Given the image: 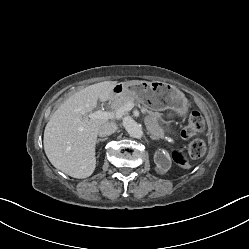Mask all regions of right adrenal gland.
<instances>
[{"instance_id": "1", "label": "right adrenal gland", "mask_w": 249, "mask_h": 249, "mask_svg": "<svg viewBox=\"0 0 249 249\" xmlns=\"http://www.w3.org/2000/svg\"><path fill=\"white\" fill-rule=\"evenodd\" d=\"M105 140H107V138H99V139L97 140V143L103 142V141H105Z\"/></svg>"}]
</instances>
